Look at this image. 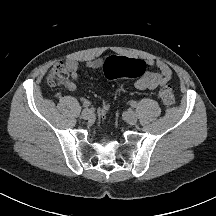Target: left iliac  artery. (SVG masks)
Masks as SVG:
<instances>
[{"label": "left iliac artery", "instance_id": "obj_1", "mask_svg": "<svg viewBox=\"0 0 216 216\" xmlns=\"http://www.w3.org/2000/svg\"><path fill=\"white\" fill-rule=\"evenodd\" d=\"M131 106L135 108L137 106V102L136 101H132L131 102Z\"/></svg>", "mask_w": 216, "mask_h": 216}]
</instances>
